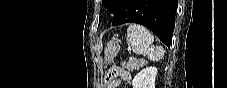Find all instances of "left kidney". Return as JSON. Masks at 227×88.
<instances>
[{
	"instance_id": "left-kidney-1",
	"label": "left kidney",
	"mask_w": 227,
	"mask_h": 88,
	"mask_svg": "<svg viewBox=\"0 0 227 88\" xmlns=\"http://www.w3.org/2000/svg\"><path fill=\"white\" fill-rule=\"evenodd\" d=\"M156 67L142 69L132 80L133 88H155Z\"/></svg>"
}]
</instances>
